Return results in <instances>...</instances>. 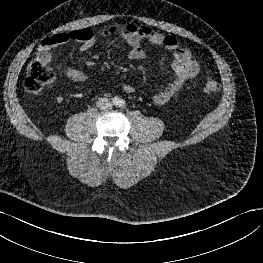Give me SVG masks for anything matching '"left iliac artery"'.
<instances>
[{"instance_id":"obj_1","label":"left iliac artery","mask_w":263,"mask_h":263,"mask_svg":"<svg viewBox=\"0 0 263 263\" xmlns=\"http://www.w3.org/2000/svg\"><path fill=\"white\" fill-rule=\"evenodd\" d=\"M124 105H125V102H124V101H120L119 106H120V107H124Z\"/></svg>"}]
</instances>
